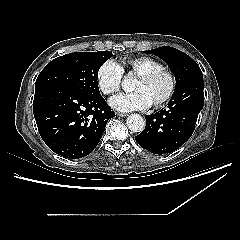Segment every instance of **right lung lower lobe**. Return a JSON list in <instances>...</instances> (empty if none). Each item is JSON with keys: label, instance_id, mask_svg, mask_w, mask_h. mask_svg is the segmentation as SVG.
<instances>
[{"label": "right lung lower lobe", "instance_id": "obj_1", "mask_svg": "<svg viewBox=\"0 0 240 240\" xmlns=\"http://www.w3.org/2000/svg\"><path fill=\"white\" fill-rule=\"evenodd\" d=\"M33 113L46 145L71 159L90 154L107 121L115 116L101 94L87 95L59 86L35 88Z\"/></svg>", "mask_w": 240, "mask_h": 240}]
</instances>
